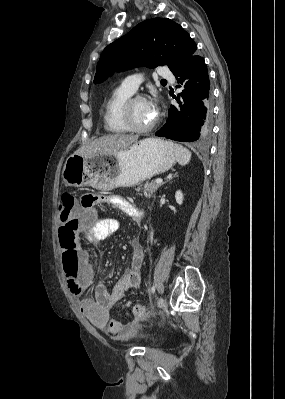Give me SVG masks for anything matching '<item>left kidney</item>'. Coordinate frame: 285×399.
Instances as JSON below:
<instances>
[{"label":"left kidney","mask_w":285,"mask_h":399,"mask_svg":"<svg viewBox=\"0 0 285 399\" xmlns=\"http://www.w3.org/2000/svg\"><path fill=\"white\" fill-rule=\"evenodd\" d=\"M175 199H176V202H177L179 205H182V203H183V193H182L180 190L176 191V193H175Z\"/></svg>","instance_id":"obj_1"}]
</instances>
